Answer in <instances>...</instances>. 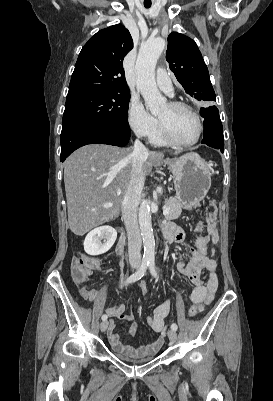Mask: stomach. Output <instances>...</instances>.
Listing matches in <instances>:
<instances>
[{
	"label": "stomach",
	"mask_w": 273,
	"mask_h": 401,
	"mask_svg": "<svg viewBox=\"0 0 273 401\" xmlns=\"http://www.w3.org/2000/svg\"><path fill=\"white\" fill-rule=\"evenodd\" d=\"M169 170L174 174L176 198L183 209L198 207L211 186L210 166L197 152H187L179 158H166Z\"/></svg>",
	"instance_id": "1"
}]
</instances>
